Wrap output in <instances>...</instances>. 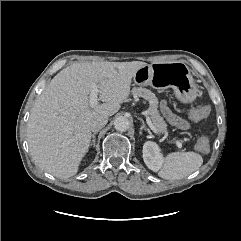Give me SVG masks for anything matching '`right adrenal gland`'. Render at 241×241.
Instances as JSON below:
<instances>
[{"mask_svg":"<svg viewBox=\"0 0 241 241\" xmlns=\"http://www.w3.org/2000/svg\"><path fill=\"white\" fill-rule=\"evenodd\" d=\"M98 132H94L93 134H92V142H91V146L93 145V147H95V143H96V134H97Z\"/></svg>","mask_w":241,"mask_h":241,"instance_id":"obj_1","label":"right adrenal gland"}]
</instances>
